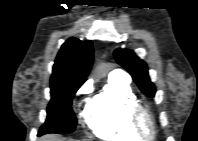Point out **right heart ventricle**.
Masks as SVG:
<instances>
[{
    "label": "right heart ventricle",
    "instance_id": "e07e8e85",
    "mask_svg": "<svg viewBox=\"0 0 198 141\" xmlns=\"http://www.w3.org/2000/svg\"><path fill=\"white\" fill-rule=\"evenodd\" d=\"M136 101L129 82L108 79L103 91L86 106L83 118L98 138L108 141H138L128 120L129 107Z\"/></svg>",
    "mask_w": 198,
    "mask_h": 141
}]
</instances>
